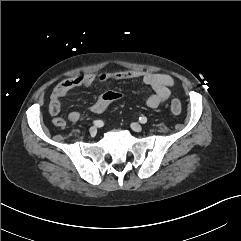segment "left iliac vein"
<instances>
[{"instance_id":"left-iliac-vein-1","label":"left iliac vein","mask_w":241,"mask_h":241,"mask_svg":"<svg viewBox=\"0 0 241 241\" xmlns=\"http://www.w3.org/2000/svg\"><path fill=\"white\" fill-rule=\"evenodd\" d=\"M131 128L135 132H141L142 131V126L139 123H132Z\"/></svg>"}]
</instances>
